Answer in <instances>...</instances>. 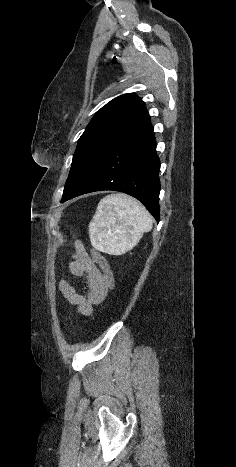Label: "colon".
I'll return each mask as SVG.
<instances>
[{"instance_id":"1","label":"colon","mask_w":236,"mask_h":467,"mask_svg":"<svg viewBox=\"0 0 236 467\" xmlns=\"http://www.w3.org/2000/svg\"><path fill=\"white\" fill-rule=\"evenodd\" d=\"M91 256L93 260L100 266L104 277L106 279L107 285L109 290L113 288L114 285V276L113 272L107 262V260L104 258V256L95 248L91 249Z\"/></svg>"}]
</instances>
